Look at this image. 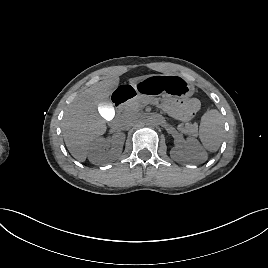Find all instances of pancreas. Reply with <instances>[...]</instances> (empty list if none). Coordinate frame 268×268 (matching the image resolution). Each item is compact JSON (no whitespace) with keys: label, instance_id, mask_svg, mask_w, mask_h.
<instances>
[{"label":"pancreas","instance_id":"cf45deb5","mask_svg":"<svg viewBox=\"0 0 268 268\" xmlns=\"http://www.w3.org/2000/svg\"><path fill=\"white\" fill-rule=\"evenodd\" d=\"M149 103L157 104L158 101L156 98H153L151 96L138 95L136 98L126 102L122 106V110L125 114L138 113ZM177 129L186 134H194L197 131V125H192L189 123H186L185 125L179 124L177 126Z\"/></svg>","mask_w":268,"mask_h":268}]
</instances>
